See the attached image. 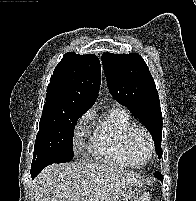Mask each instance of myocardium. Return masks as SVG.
<instances>
[{"label": "myocardium", "instance_id": "1", "mask_svg": "<svg viewBox=\"0 0 196 201\" xmlns=\"http://www.w3.org/2000/svg\"><path fill=\"white\" fill-rule=\"evenodd\" d=\"M137 133H141L143 134L147 141H148V145H149V156L148 159L146 160V162H144L143 164H136L133 160V156H132V141L134 136ZM125 151H126V156H127V160L129 162V164L132 167H143L146 166L153 158L154 153H155V145H154V140H153V136L151 134V132L143 125H139V124H135L133 126H131L125 136Z\"/></svg>", "mask_w": 196, "mask_h": 201}]
</instances>
